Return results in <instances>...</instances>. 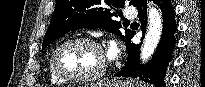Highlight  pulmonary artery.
<instances>
[{
	"instance_id": "1",
	"label": "pulmonary artery",
	"mask_w": 205,
	"mask_h": 87,
	"mask_svg": "<svg viewBox=\"0 0 205 87\" xmlns=\"http://www.w3.org/2000/svg\"><path fill=\"white\" fill-rule=\"evenodd\" d=\"M124 15H125V17H127V18H132V17L135 16V10L132 9V8H126V9L124 10Z\"/></svg>"
}]
</instances>
